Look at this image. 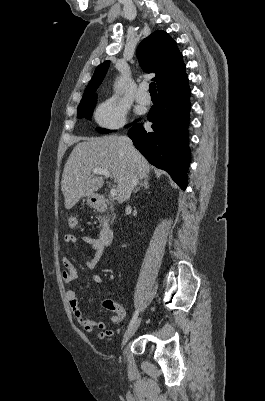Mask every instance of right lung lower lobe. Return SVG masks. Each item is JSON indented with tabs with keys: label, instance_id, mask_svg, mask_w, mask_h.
I'll list each match as a JSON object with an SVG mask.
<instances>
[{
	"label": "right lung lower lobe",
	"instance_id": "obj_1",
	"mask_svg": "<svg viewBox=\"0 0 265 401\" xmlns=\"http://www.w3.org/2000/svg\"><path fill=\"white\" fill-rule=\"evenodd\" d=\"M189 96L188 80L178 87L158 92L157 103L147 115L153 123L152 131L136 124L128 132L134 146L146 159L167 171L183 190L187 186L190 162L187 131Z\"/></svg>",
	"mask_w": 265,
	"mask_h": 401
}]
</instances>
